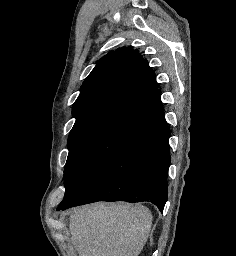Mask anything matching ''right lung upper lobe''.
<instances>
[{"label": "right lung upper lobe", "mask_w": 236, "mask_h": 256, "mask_svg": "<svg viewBox=\"0 0 236 256\" xmlns=\"http://www.w3.org/2000/svg\"><path fill=\"white\" fill-rule=\"evenodd\" d=\"M80 91L72 110L74 125L109 114H125L151 124L164 118L155 75L131 47L105 55Z\"/></svg>", "instance_id": "1"}]
</instances>
